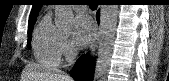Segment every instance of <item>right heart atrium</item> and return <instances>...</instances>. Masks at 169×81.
Listing matches in <instances>:
<instances>
[{"label":"right heart atrium","mask_w":169,"mask_h":81,"mask_svg":"<svg viewBox=\"0 0 169 81\" xmlns=\"http://www.w3.org/2000/svg\"><path fill=\"white\" fill-rule=\"evenodd\" d=\"M60 52L61 55L65 58H68L71 55V47L66 37H62L61 39Z\"/></svg>","instance_id":"d8ad5b80"}]
</instances>
